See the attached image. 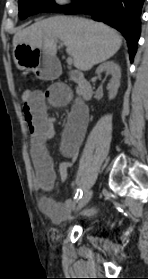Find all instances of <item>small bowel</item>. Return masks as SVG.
Returning <instances> with one entry per match:
<instances>
[{"mask_svg": "<svg viewBox=\"0 0 148 279\" xmlns=\"http://www.w3.org/2000/svg\"><path fill=\"white\" fill-rule=\"evenodd\" d=\"M70 89L61 83L50 85L43 91L33 92L30 102L24 103V119L31 133V156L36 169L34 188L37 191H47L55 179L53 162L47 153L45 143L55 136V125L48 115L47 107H62L71 101ZM89 124L87 108L77 103L70 112L61 137V151L67 160L59 165V177L65 182L68 169L76 161ZM72 206V200L56 202L44 195L40 198V207L44 213L55 220L65 218L67 210ZM93 214L94 210L85 211Z\"/></svg>", "mask_w": 148, "mask_h": 279, "instance_id": "1", "label": "small bowel"}]
</instances>
